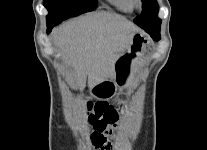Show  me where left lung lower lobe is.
<instances>
[{"label": "left lung lower lobe", "instance_id": "1", "mask_svg": "<svg viewBox=\"0 0 207 150\" xmlns=\"http://www.w3.org/2000/svg\"><path fill=\"white\" fill-rule=\"evenodd\" d=\"M154 40L158 41L160 39V33H150Z\"/></svg>", "mask_w": 207, "mask_h": 150}]
</instances>
